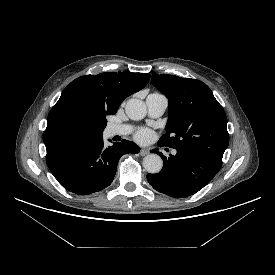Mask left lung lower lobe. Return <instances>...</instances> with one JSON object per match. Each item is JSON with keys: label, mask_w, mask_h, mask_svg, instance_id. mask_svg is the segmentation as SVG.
<instances>
[{"label": "left lung lower lobe", "mask_w": 275, "mask_h": 275, "mask_svg": "<svg viewBox=\"0 0 275 275\" xmlns=\"http://www.w3.org/2000/svg\"><path fill=\"white\" fill-rule=\"evenodd\" d=\"M158 146H162L158 144ZM163 168L157 174H148L149 184L157 191L172 197H188L206 186L220 170L221 165L199 154L177 149L176 155L164 156Z\"/></svg>", "instance_id": "left-lung-lower-lobe-1"}]
</instances>
